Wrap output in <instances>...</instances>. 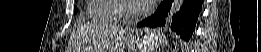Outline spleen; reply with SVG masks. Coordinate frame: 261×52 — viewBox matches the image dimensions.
<instances>
[{
  "instance_id": "1",
  "label": "spleen",
  "mask_w": 261,
  "mask_h": 52,
  "mask_svg": "<svg viewBox=\"0 0 261 52\" xmlns=\"http://www.w3.org/2000/svg\"><path fill=\"white\" fill-rule=\"evenodd\" d=\"M161 44H166V38H165V35L162 34V41H161Z\"/></svg>"
}]
</instances>
